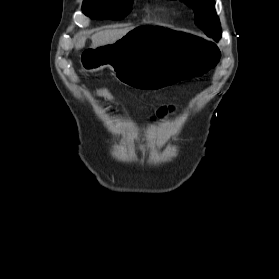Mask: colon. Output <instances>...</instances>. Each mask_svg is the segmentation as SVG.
I'll use <instances>...</instances> for the list:
<instances>
[{
	"instance_id": "5ec220e1",
	"label": "colon",
	"mask_w": 279,
	"mask_h": 279,
	"mask_svg": "<svg viewBox=\"0 0 279 279\" xmlns=\"http://www.w3.org/2000/svg\"><path fill=\"white\" fill-rule=\"evenodd\" d=\"M91 92L95 95L101 96L107 100H115L114 93L107 87L94 86L91 88Z\"/></svg>"
}]
</instances>
